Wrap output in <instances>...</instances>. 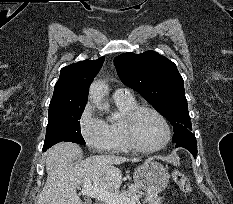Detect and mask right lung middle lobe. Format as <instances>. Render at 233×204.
<instances>
[{"instance_id":"right-lung-middle-lobe-1","label":"right lung middle lobe","mask_w":233,"mask_h":204,"mask_svg":"<svg viewBox=\"0 0 233 204\" xmlns=\"http://www.w3.org/2000/svg\"><path fill=\"white\" fill-rule=\"evenodd\" d=\"M85 105L86 103H76L49 106L48 125L43 150L62 141L85 144L80 132L79 122Z\"/></svg>"}]
</instances>
